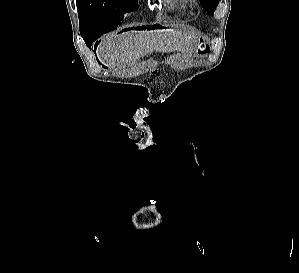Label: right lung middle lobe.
<instances>
[{"mask_svg":"<svg viewBox=\"0 0 299 273\" xmlns=\"http://www.w3.org/2000/svg\"><path fill=\"white\" fill-rule=\"evenodd\" d=\"M80 33H107L117 28L124 16L138 9V0H76Z\"/></svg>","mask_w":299,"mask_h":273,"instance_id":"obj_1","label":"right lung middle lobe"}]
</instances>
